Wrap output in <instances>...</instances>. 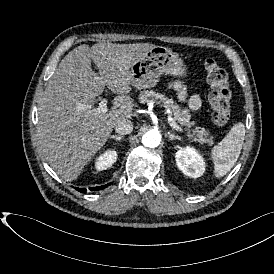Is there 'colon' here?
Wrapping results in <instances>:
<instances>
[{
	"mask_svg": "<svg viewBox=\"0 0 274 274\" xmlns=\"http://www.w3.org/2000/svg\"><path fill=\"white\" fill-rule=\"evenodd\" d=\"M206 78L211 86L209 102L211 118L216 125L226 124L230 118L232 92L228 82V74L213 58L204 60Z\"/></svg>",
	"mask_w": 274,
	"mask_h": 274,
	"instance_id": "colon-1",
	"label": "colon"
}]
</instances>
